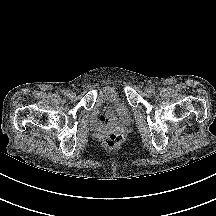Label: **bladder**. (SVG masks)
I'll return each instance as SVG.
<instances>
[{"label": "bladder", "instance_id": "31cf9c89", "mask_svg": "<svg viewBox=\"0 0 216 216\" xmlns=\"http://www.w3.org/2000/svg\"><path fill=\"white\" fill-rule=\"evenodd\" d=\"M101 106H109L113 111L106 121L107 125L125 126L131 120V110L114 92H107L100 97L98 107L94 110L95 115H100Z\"/></svg>", "mask_w": 216, "mask_h": 216}]
</instances>
